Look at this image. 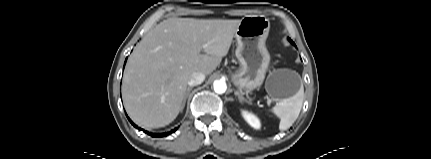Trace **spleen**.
<instances>
[{
	"instance_id": "1",
	"label": "spleen",
	"mask_w": 431,
	"mask_h": 159,
	"mask_svg": "<svg viewBox=\"0 0 431 159\" xmlns=\"http://www.w3.org/2000/svg\"><path fill=\"white\" fill-rule=\"evenodd\" d=\"M304 101V88L301 86L298 93L291 98L279 101L272 112L280 118L279 129H288L298 118Z\"/></svg>"
}]
</instances>
